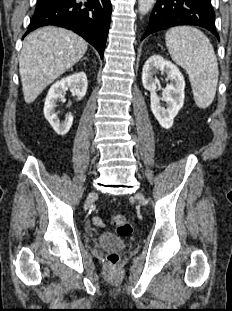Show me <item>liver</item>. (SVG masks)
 <instances>
[{"label":"liver","mask_w":232,"mask_h":311,"mask_svg":"<svg viewBox=\"0 0 232 311\" xmlns=\"http://www.w3.org/2000/svg\"><path fill=\"white\" fill-rule=\"evenodd\" d=\"M87 42L62 28L43 27L23 41L19 59L24 100L32 103L55 79L75 65L86 53Z\"/></svg>","instance_id":"6515ba94"}]
</instances>
